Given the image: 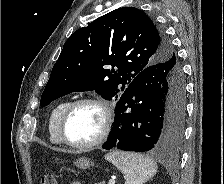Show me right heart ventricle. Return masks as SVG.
I'll return each instance as SVG.
<instances>
[{"label": "right heart ventricle", "instance_id": "1", "mask_svg": "<svg viewBox=\"0 0 224 184\" xmlns=\"http://www.w3.org/2000/svg\"><path fill=\"white\" fill-rule=\"evenodd\" d=\"M69 103L70 102L68 100L58 103L50 113L48 120V133H49V139L53 144L59 145L62 143L59 135L58 126L60 118Z\"/></svg>", "mask_w": 224, "mask_h": 184}]
</instances>
